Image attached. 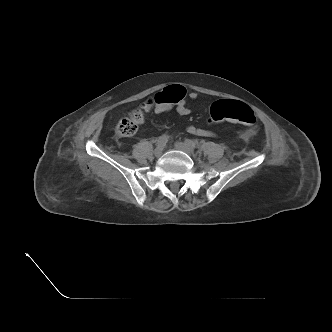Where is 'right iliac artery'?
<instances>
[{
    "label": "right iliac artery",
    "mask_w": 332,
    "mask_h": 332,
    "mask_svg": "<svg viewBox=\"0 0 332 332\" xmlns=\"http://www.w3.org/2000/svg\"><path fill=\"white\" fill-rule=\"evenodd\" d=\"M167 141H168V135L164 134V135H162L158 138L157 145L158 146H160V145L164 146V145H166Z\"/></svg>",
    "instance_id": "1"
}]
</instances>
